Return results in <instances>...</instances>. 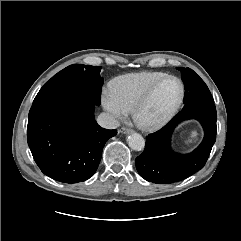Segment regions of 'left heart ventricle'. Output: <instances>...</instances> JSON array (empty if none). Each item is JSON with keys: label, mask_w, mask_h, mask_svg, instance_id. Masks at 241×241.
<instances>
[{"label": "left heart ventricle", "mask_w": 241, "mask_h": 241, "mask_svg": "<svg viewBox=\"0 0 241 241\" xmlns=\"http://www.w3.org/2000/svg\"><path fill=\"white\" fill-rule=\"evenodd\" d=\"M180 85L176 80L168 79L159 85L151 100L141 113L145 120H153L165 114L178 100Z\"/></svg>", "instance_id": "obj_1"}]
</instances>
